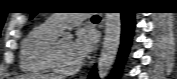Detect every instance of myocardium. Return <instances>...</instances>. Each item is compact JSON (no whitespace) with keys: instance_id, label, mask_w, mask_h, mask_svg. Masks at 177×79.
Wrapping results in <instances>:
<instances>
[{"instance_id":"obj_1","label":"myocardium","mask_w":177,"mask_h":79,"mask_svg":"<svg viewBox=\"0 0 177 79\" xmlns=\"http://www.w3.org/2000/svg\"><path fill=\"white\" fill-rule=\"evenodd\" d=\"M58 42L59 41H55L49 51V62L51 64V67L53 68V70L61 75H73L75 73H77L80 68H81V64L78 63L75 67L73 68H65L63 67V65L60 62V58H59V53H58Z\"/></svg>"}]
</instances>
